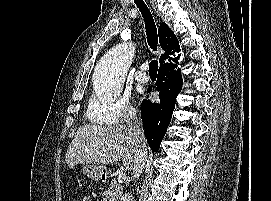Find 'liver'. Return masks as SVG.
<instances>
[{"instance_id":"liver-1","label":"liver","mask_w":271,"mask_h":201,"mask_svg":"<svg viewBox=\"0 0 271 201\" xmlns=\"http://www.w3.org/2000/svg\"><path fill=\"white\" fill-rule=\"evenodd\" d=\"M136 145L123 125L86 124L80 126L68 148L66 163L116 164L120 159L127 170L136 160Z\"/></svg>"}]
</instances>
